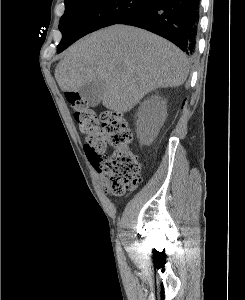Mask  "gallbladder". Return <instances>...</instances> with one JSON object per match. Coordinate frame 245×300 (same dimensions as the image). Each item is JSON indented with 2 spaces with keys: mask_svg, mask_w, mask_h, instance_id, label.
<instances>
[{
  "mask_svg": "<svg viewBox=\"0 0 245 300\" xmlns=\"http://www.w3.org/2000/svg\"><path fill=\"white\" fill-rule=\"evenodd\" d=\"M106 82L104 79L98 78L83 85L79 93L88 106L95 107L102 100Z\"/></svg>",
  "mask_w": 245,
  "mask_h": 300,
  "instance_id": "1",
  "label": "gallbladder"
}]
</instances>
